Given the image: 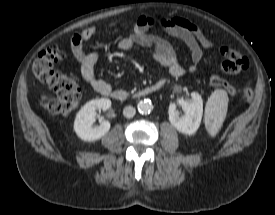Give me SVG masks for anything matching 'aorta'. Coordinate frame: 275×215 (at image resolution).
Instances as JSON below:
<instances>
[{
	"label": "aorta",
	"instance_id": "obj_1",
	"mask_svg": "<svg viewBox=\"0 0 275 215\" xmlns=\"http://www.w3.org/2000/svg\"><path fill=\"white\" fill-rule=\"evenodd\" d=\"M137 108L141 114H149L153 109V105L151 101L144 100L138 103Z\"/></svg>",
	"mask_w": 275,
	"mask_h": 215
}]
</instances>
